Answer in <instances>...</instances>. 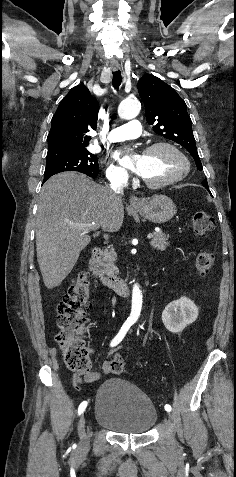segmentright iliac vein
Returning a JSON list of instances; mask_svg holds the SVG:
<instances>
[{"label":"right iliac vein","mask_w":236,"mask_h":477,"mask_svg":"<svg viewBox=\"0 0 236 477\" xmlns=\"http://www.w3.org/2000/svg\"><path fill=\"white\" fill-rule=\"evenodd\" d=\"M87 415L86 413L84 414ZM78 433L80 437V442L78 445V450L80 452H85L89 449V438L85 433V417L81 416L79 423H78Z\"/></svg>","instance_id":"1"}]
</instances>
